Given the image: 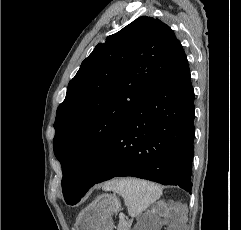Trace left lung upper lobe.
Segmentation results:
<instances>
[{
    "instance_id": "1",
    "label": "left lung upper lobe",
    "mask_w": 241,
    "mask_h": 230,
    "mask_svg": "<svg viewBox=\"0 0 241 230\" xmlns=\"http://www.w3.org/2000/svg\"><path fill=\"white\" fill-rule=\"evenodd\" d=\"M184 56L168 25L142 16L108 36L82 62L54 124L53 149L62 165L68 204L76 203L85 188L82 163L117 135Z\"/></svg>"
}]
</instances>
